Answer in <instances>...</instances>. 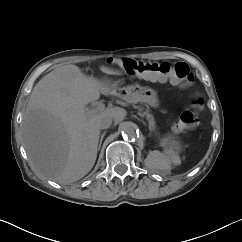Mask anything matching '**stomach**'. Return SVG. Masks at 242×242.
Listing matches in <instances>:
<instances>
[{"label":"stomach","instance_id":"stomach-1","mask_svg":"<svg viewBox=\"0 0 242 242\" xmlns=\"http://www.w3.org/2000/svg\"><path fill=\"white\" fill-rule=\"evenodd\" d=\"M118 92L120 93L121 97L127 102H144L154 108L158 107L159 105L157 92L147 86H141L138 84L131 85L118 89ZM163 145L170 148H178L174 143L169 142L166 139L163 140Z\"/></svg>","mask_w":242,"mask_h":242}]
</instances>
